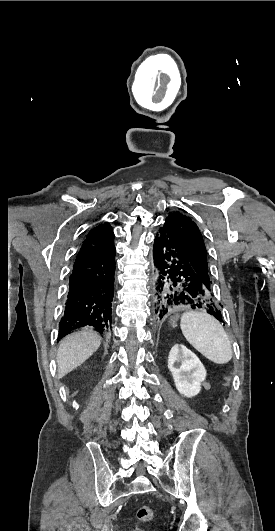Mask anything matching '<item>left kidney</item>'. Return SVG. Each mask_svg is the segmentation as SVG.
Returning <instances> with one entry per match:
<instances>
[{"instance_id": "left-kidney-1", "label": "left kidney", "mask_w": 275, "mask_h": 531, "mask_svg": "<svg viewBox=\"0 0 275 531\" xmlns=\"http://www.w3.org/2000/svg\"><path fill=\"white\" fill-rule=\"evenodd\" d=\"M168 369L175 387L183 397H195L205 381L206 369L198 357L184 345H174L168 357Z\"/></svg>"}]
</instances>
